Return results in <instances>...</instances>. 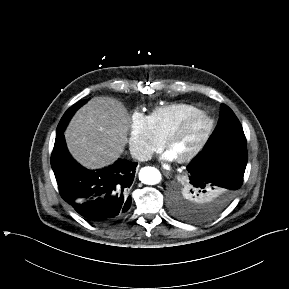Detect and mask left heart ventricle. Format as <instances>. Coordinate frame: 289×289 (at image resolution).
I'll list each match as a JSON object with an SVG mask.
<instances>
[{
    "label": "left heart ventricle",
    "mask_w": 289,
    "mask_h": 289,
    "mask_svg": "<svg viewBox=\"0 0 289 289\" xmlns=\"http://www.w3.org/2000/svg\"><path fill=\"white\" fill-rule=\"evenodd\" d=\"M206 126H207V122L205 119L198 118L194 120L189 126L185 135L179 140H177L176 142H174L169 148V151L175 157H179L183 155L200 138Z\"/></svg>",
    "instance_id": "b2bd125f"
}]
</instances>
